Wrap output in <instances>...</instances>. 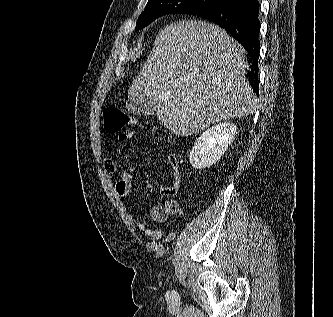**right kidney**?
Segmentation results:
<instances>
[{"label":"right kidney","instance_id":"obj_1","mask_svg":"<svg viewBox=\"0 0 333 317\" xmlns=\"http://www.w3.org/2000/svg\"><path fill=\"white\" fill-rule=\"evenodd\" d=\"M237 134V126L222 122L204 131L196 140L190 154V164L195 169L215 164L232 144Z\"/></svg>","mask_w":333,"mask_h":317}]
</instances>
